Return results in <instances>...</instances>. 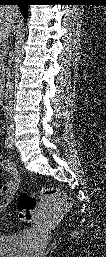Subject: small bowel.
<instances>
[{"label": "small bowel", "instance_id": "1", "mask_svg": "<svg viewBox=\"0 0 106 257\" xmlns=\"http://www.w3.org/2000/svg\"><path fill=\"white\" fill-rule=\"evenodd\" d=\"M1 167L6 173L11 175V178L1 189L0 208L1 210H4L10 205L13 195L18 190L20 179L18 171L12 162L3 160L1 162Z\"/></svg>", "mask_w": 106, "mask_h": 257}]
</instances>
